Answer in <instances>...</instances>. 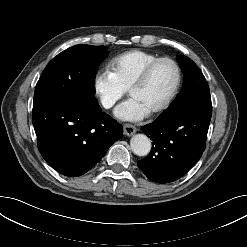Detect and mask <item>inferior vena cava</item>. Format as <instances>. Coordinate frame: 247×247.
I'll use <instances>...</instances> for the list:
<instances>
[{"label":"inferior vena cava","instance_id":"obj_1","mask_svg":"<svg viewBox=\"0 0 247 247\" xmlns=\"http://www.w3.org/2000/svg\"><path fill=\"white\" fill-rule=\"evenodd\" d=\"M112 105H113L112 103H106L104 106H105L106 108H110Z\"/></svg>","mask_w":247,"mask_h":247}]
</instances>
